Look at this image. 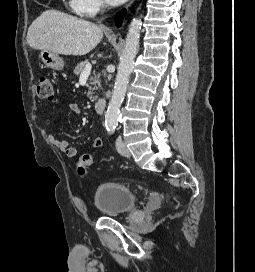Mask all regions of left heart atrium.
Masks as SVG:
<instances>
[{
	"instance_id": "1",
	"label": "left heart atrium",
	"mask_w": 255,
	"mask_h": 272,
	"mask_svg": "<svg viewBox=\"0 0 255 272\" xmlns=\"http://www.w3.org/2000/svg\"><path fill=\"white\" fill-rule=\"evenodd\" d=\"M106 1L111 5H118L122 2H124L125 0H106Z\"/></svg>"
}]
</instances>
